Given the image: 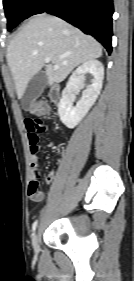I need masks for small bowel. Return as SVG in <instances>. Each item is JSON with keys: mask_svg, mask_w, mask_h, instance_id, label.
I'll return each instance as SVG.
<instances>
[{"mask_svg": "<svg viewBox=\"0 0 134 281\" xmlns=\"http://www.w3.org/2000/svg\"><path fill=\"white\" fill-rule=\"evenodd\" d=\"M25 127L28 132V139L30 144V153H31V171H30V180L31 181H38L40 177V164L38 161L37 153H38V141L39 133H43L47 130L46 124L39 118H26L24 120ZM48 147H54V144L52 142L48 143ZM57 176V173L55 170H52L48 173L46 176V182L52 183ZM30 181V182H31ZM35 201H40L43 198V193L41 197L39 198H33Z\"/></svg>", "mask_w": 134, "mask_h": 281, "instance_id": "obj_1", "label": "small bowel"}]
</instances>
